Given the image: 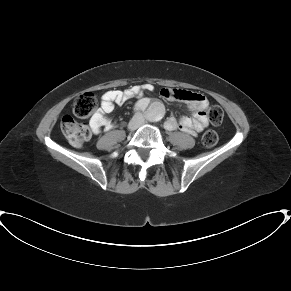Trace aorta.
<instances>
[{
	"instance_id": "aorta-1",
	"label": "aorta",
	"mask_w": 291,
	"mask_h": 291,
	"mask_svg": "<svg viewBox=\"0 0 291 291\" xmlns=\"http://www.w3.org/2000/svg\"><path fill=\"white\" fill-rule=\"evenodd\" d=\"M147 115L152 120H156L162 117V113L160 111H155L153 106L149 109Z\"/></svg>"
}]
</instances>
